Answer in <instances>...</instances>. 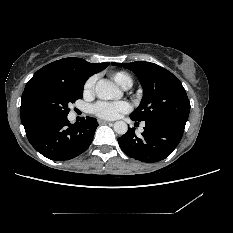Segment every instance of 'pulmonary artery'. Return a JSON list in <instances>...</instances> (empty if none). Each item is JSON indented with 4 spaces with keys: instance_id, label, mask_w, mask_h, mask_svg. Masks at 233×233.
I'll use <instances>...</instances> for the list:
<instances>
[{
    "instance_id": "obj_1",
    "label": "pulmonary artery",
    "mask_w": 233,
    "mask_h": 233,
    "mask_svg": "<svg viewBox=\"0 0 233 233\" xmlns=\"http://www.w3.org/2000/svg\"><path fill=\"white\" fill-rule=\"evenodd\" d=\"M128 88H130V86L126 87L125 89H128Z\"/></svg>"
}]
</instances>
